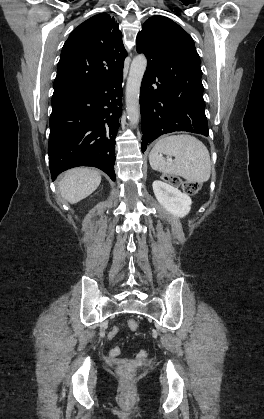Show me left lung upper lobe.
I'll list each match as a JSON object with an SVG mask.
<instances>
[{
	"mask_svg": "<svg viewBox=\"0 0 264 419\" xmlns=\"http://www.w3.org/2000/svg\"><path fill=\"white\" fill-rule=\"evenodd\" d=\"M137 51L150 53L159 73L165 78L201 82L200 57L191 36L164 16L149 18L138 33Z\"/></svg>",
	"mask_w": 264,
	"mask_h": 419,
	"instance_id": "1",
	"label": "left lung upper lobe"
}]
</instances>
